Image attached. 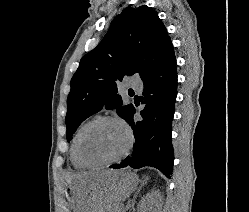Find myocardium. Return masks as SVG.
Listing matches in <instances>:
<instances>
[{
	"label": "myocardium",
	"instance_id": "myocardium-1",
	"mask_svg": "<svg viewBox=\"0 0 249 212\" xmlns=\"http://www.w3.org/2000/svg\"><path fill=\"white\" fill-rule=\"evenodd\" d=\"M106 122L115 123V124L119 125L124 130V132L126 133V136H127L126 146L123 149V151L113 159H110V160L104 161V162H89L84 158V156L82 154V150H81L82 142H83L84 138L86 137V135L88 134V132L92 128H94L95 126H97L101 123H106ZM133 143H134V135H133L131 127L127 124L126 121H124L123 119L116 117V116H100V117L93 119L88 124H86V126L80 132V134L77 138V141H76V145H75V154H76V157H77V160L79 161V163L84 167L104 168V167L114 165V164L118 163L119 161H121L123 158H125L129 154L130 150L132 149Z\"/></svg>",
	"mask_w": 249,
	"mask_h": 212
}]
</instances>
